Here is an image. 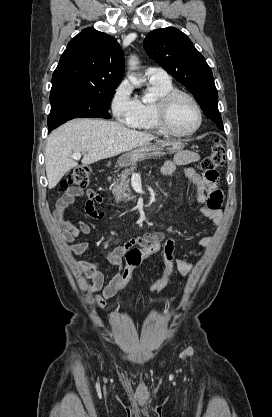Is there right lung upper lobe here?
I'll return each instance as SVG.
<instances>
[{
    "mask_svg": "<svg viewBox=\"0 0 272 417\" xmlns=\"http://www.w3.org/2000/svg\"><path fill=\"white\" fill-rule=\"evenodd\" d=\"M123 52L110 35L83 29L67 45L52 77V93L106 91L123 78Z\"/></svg>",
    "mask_w": 272,
    "mask_h": 417,
    "instance_id": "cb5924a9",
    "label": "right lung upper lobe"
}]
</instances>
